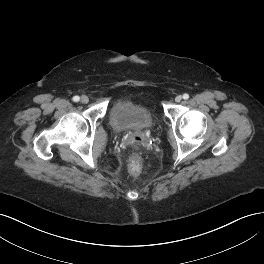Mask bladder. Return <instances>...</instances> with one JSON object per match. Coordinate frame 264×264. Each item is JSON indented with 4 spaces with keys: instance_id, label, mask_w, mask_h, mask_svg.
Here are the masks:
<instances>
[{
    "instance_id": "obj_1",
    "label": "bladder",
    "mask_w": 264,
    "mask_h": 264,
    "mask_svg": "<svg viewBox=\"0 0 264 264\" xmlns=\"http://www.w3.org/2000/svg\"><path fill=\"white\" fill-rule=\"evenodd\" d=\"M111 126L118 132L133 129H148L155 119L150 109L137 101L121 99L115 101L109 113Z\"/></svg>"
}]
</instances>
